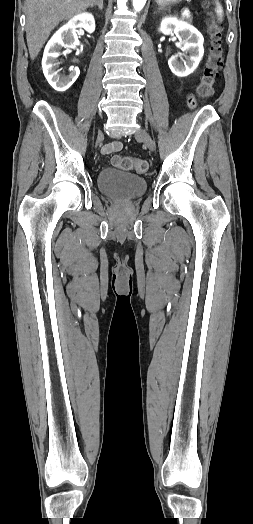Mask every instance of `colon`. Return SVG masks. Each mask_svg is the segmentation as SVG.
Listing matches in <instances>:
<instances>
[{
    "mask_svg": "<svg viewBox=\"0 0 253 524\" xmlns=\"http://www.w3.org/2000/svg\"><path fill=\"white\" fill-rule=\"evenodd\" d=\"M207 5L210 0H206ZM209 34L211 37V47L203 69V74L199 86L197 88V95L201 98H208L213 94L214 86L219 75V71L223 65L224 50H223V30L219 22L215 18L209 20ZM113 164L123 170H134L137 173H145L148 169V163L141 158L132 157H115Z\"/></svg>",
    "mask_w": 253,
    "mask_h": 524,
    "instance_id": "colon-1",
    "label": "colon"
}]
</instances>
